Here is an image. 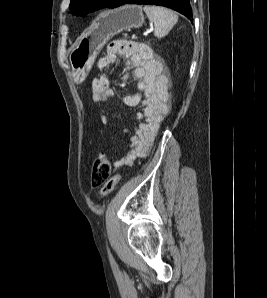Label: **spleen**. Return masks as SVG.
I'll return each instance as SVG.
<instances>
[{
    "label": "spleen",
    "instance_id": "spleen-1",
    "mask_svg": "<svg viewBox=\"0 0 267 298\" xmlns=\"http://www.w3.org/2000/svg\"><path fill=\"white\" fill-rule=\"evenodd\" d=\"M143 10L150 22L154 24V35L158 38L166 36L178 22L177 14L170 9L146 5Z\"/></svg>",
    "mask_w": 267,
    "mask_h": 298
}]
</instances>
